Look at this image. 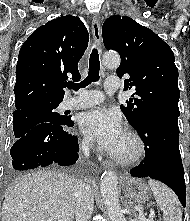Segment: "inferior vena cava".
I'll return each mask as SVG.
<instances>
[{"label":"inferior vena cava","instance_id":"602c4592","mask_svg":"<svg viewBox=\"0 0 190 221\" xmlns=\"http://www.w3.org/2000/svg\"><path fill=\"white\" fill-rule=\"evenodd\" d=\"M83 154L88 157L90 152V144L83 141L81 144ZM75 216L76 221H88L93 213L94 196L90 185L86 181H78L75 186Z\"/></svg>","mask_w":190,"mask_h":221}]
</instances>
